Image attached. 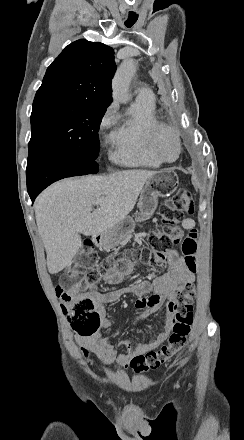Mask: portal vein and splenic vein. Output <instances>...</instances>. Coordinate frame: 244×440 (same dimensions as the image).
Here are the masks:
<instances>
[{
	"instance_id": "18ae733b",
	"label": "portal vein and splenic vein",
	"mask_w": 244,
	"mask_h": 440,
	"mask_svg": "<svg viewBox=\"0 0 244 440\" xmlns=\"http://www.w3.org/2000/svg\"><path fill=\"white\" fill-rule=\"evenodd\" d=\"M101 202H103V200H97V202H95L96 206H99V204H101Z\"/></svg>"
}]
</instances>
